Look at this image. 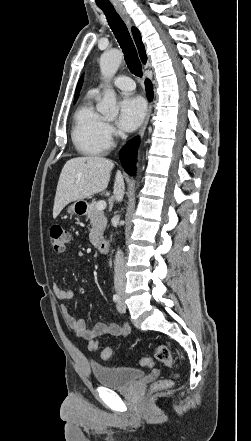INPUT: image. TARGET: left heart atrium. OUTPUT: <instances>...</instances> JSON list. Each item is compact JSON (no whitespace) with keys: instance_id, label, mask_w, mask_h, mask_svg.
<instances>
[{"instance_id":"obj_1","label":"left heart atrium","mask_w":251,"mask_h":441,"mask_svg":"<svg viewBox=\"0 0 251 441\" xmlns=\"http://www.w3.org/2000/svg\"><path fill=\"white\" fill-rule=\"evenodd\" d=\"M146 105L142 98L137 96L125 97L120 102L118 126L124 131L135 130L144 119Z\"/></svg>"}]
</instances>
